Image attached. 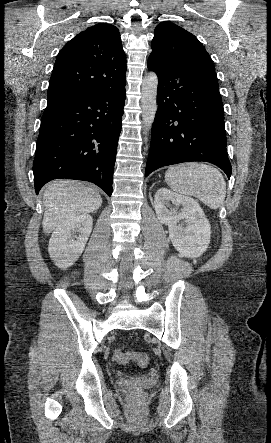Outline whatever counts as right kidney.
<instances>
[{
  "mask_svg": "<svg viewBox=\"0 0 271 443\" xmlns=\"http://www.w3.org/2000/svg\"><path fill=\"white\" fill-rule=\"evenodd\" d=\"M93 220L89 214H78L57 225L49 241V255L58 267H70L81 255L92 231Z\"/></svg>",
  "mask_w": 271,
  "mask_h": 443,
  "instance_id": "right-kidney-1",
  "label": "right kidney"
}]
</instances>
